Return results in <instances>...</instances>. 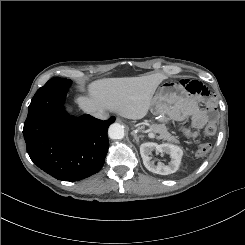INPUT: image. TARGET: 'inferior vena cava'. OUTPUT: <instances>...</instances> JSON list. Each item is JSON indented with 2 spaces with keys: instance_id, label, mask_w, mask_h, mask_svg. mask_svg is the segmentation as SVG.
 Masks as SVG:
<instances>
[{
  "instance_id": "inferior-vena-cava-1",
  "label": "inferior vena cava",
  "mask_w": 245,
  "mask_h": 245,
  "mask_svg": "<svg viewBox=\"0 0 245 245\" xmlns=\"http://www.w3.org/2000/svg\"><path fill=\"white\" fill-rule=\"evenodd\" d=\"M92 115L101 120H106L108 118V113H106L103 109H99L98 111L92 113Z\"/></svg>"
}]
</instances>
